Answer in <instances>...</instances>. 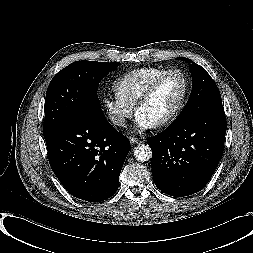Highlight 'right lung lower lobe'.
I'll return each mask as SVG.
<instances>
[{
	"mask_svg": "<svg viewBox=\"0 0 253 253\" xmlns=\"http://www.w3.org/2000/svg\"><path fill=\"white\" fill-rule=\"evenodd\" d=\"M45 140L50 166L71 195L100 202L115 194L131 146L103 115L79 114Z\"/></svg>",
	"mask_w": 253,
	"mask_h": 253,
	"instance_id": "98d812e1",
	"label": "right lung lower lobe"
}]
</instances>
